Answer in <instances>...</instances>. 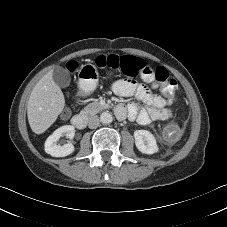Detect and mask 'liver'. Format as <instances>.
Segmentation results:
<instances>
[{
	"label": "liver",
	"instance_id": "liver-1",
	"mask_svg": "<svg viewBox=\"0 0 227 227\" xmlns=\"http://www.w3.org/2000/svg\"><path fill=\"white\" fill-rule=\"evenodd\" d=\"M64 106V95L53 80V70H50L36 83L28 100L27 116L31 130L36 134L45 132Z\"/></svg>",
	"mask_w": 227,
	"mask_h": 227
}]
</instances>
